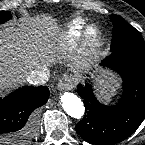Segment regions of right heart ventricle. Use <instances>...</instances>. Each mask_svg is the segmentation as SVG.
<instances>
[{
	"mask_svg": "<svg viewBox=\"0 0 145 145\" xmlns=\"http://www.w3.org/2000/svg\"><path fill=\"white\" fill-rule=\"evenodd\" d=\"M84 26V21L75 19L71 21L56 37L55 48L58 52H63L72 47L79 38Z\"/></svg>",
	"mask_w": 145,
	"mask_h": 145,
	"instance_id": "e07e8e85",
	"label": "right heart ventricle"
}]
</instances>
